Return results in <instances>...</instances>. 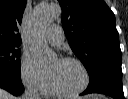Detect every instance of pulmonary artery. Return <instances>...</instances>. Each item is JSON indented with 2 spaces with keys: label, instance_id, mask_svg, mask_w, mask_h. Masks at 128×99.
Returning a JSON list of instances; mask_svg holds the SVG:
<instances>
[{
  "label": "pulmonary artery",
  "instance_id": "1",
  "mask_svg": "<svg viewBox=\"0 0 128 99\" xmlns=\"http://www.w3.org/2000/svg\"><path fill=\"white\" fill-rule=\"evenodd\" d=\"M46 38L54 46H60L64 41V33L61 26L53 25L46 31Z\"/></svg>",
  "mask_w": 128,
  "mask_h": 99
}]
</instances>
